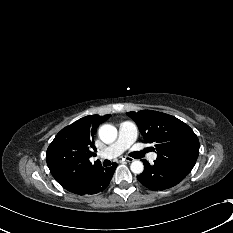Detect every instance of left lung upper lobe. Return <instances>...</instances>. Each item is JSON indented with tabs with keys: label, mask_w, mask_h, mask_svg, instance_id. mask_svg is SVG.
Masks as SVG:
<instances>
[{
	"label": "left lung upper lobe",
	"mask_w": 233,
	"mask_h": 233,
	"mask_svg": "<svg viewBox=\"0 0 233 233\" xmlns=\"http://www.w3.org/2000/svg\"><path fill=\"white\" fill-rule=\"evenodd\" d=\"M146 143L155 144L157 161L183 174L193 169L199 154V140L193 130L178 118L153 110L128 112Z\"/></svg>",
	"instance_id": "1"
}]
</instances>
